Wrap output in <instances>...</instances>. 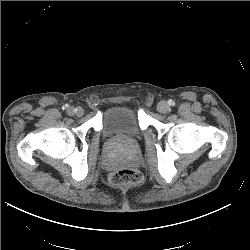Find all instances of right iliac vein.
Segmentation results:
<instances>
[{
	"label": "right iliac vein",
	"mask_w": 250,
	"mask_h": 250,
	"mask_svg": "<svg viewBox=\"0 0 250 250\" xmlns=\"http://www.w3.org/2000/svg\"><path fill=\"white\" fill-rule=\"evenodd\" d=\"M67 112L69 115H77L78 117H81L84 114V110L81 107L77 108L69 107Z\"/></svg>",
	"instance_id": "63e3f726"
}]
</instances>
